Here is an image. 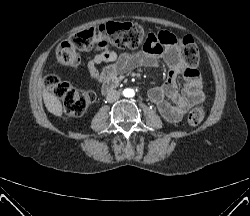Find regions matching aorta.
Instances as JSON below:
<instances>
[{
    "instance_id": "762f6f07",
    "label": "aorta",
    "mask_w": 250,
    "mask_h": 216,
    "mask_svg": "<svg viewBox=\"0 0 250 216\" xmlns=\"http://www.w3.org/2000/svg\"><path fill=\"white\" fill-rule=\"evenodd\" d=\"M123 95L125 97H133L134 96V90L133 89H125L123 91Z\"/></svg>"
}]
</instances>
